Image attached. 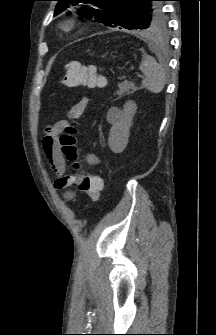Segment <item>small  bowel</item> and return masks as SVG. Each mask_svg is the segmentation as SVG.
Returning <instances> with one entry per match:
<instances>
[{
  "label": "small bowel",
  "mask_w": 216,
  "mask_h": 335,
  "mask_svg": "<svg viewBox=\"0 0 216 335\" xmlns=\"http://www.w3.org/2000/svg\"><path fill=\"white\" fill-rule=\"evenodd\" d=\"M88 100L82 99L77 104H75L68 112V117L71 119L79 118L85 112L87 107ZM68 125L66 120H60L55 123L52 127L47 128L46 134L43 137L42 145L43 150L46 155V158L51 165L52 169L57 175V179L55 181V187L57 189H63L64 198L68 201L73 200L76 196L75 191L70 189V187L76 183L77 179L73 176H64L65 173V161L60 151L59 145V134L63 131V129ZM86 160L91 165H97L99 163V159L94 154L88 153L86 155Z\"/></svg>",
  "instance_id": "1"
}]
</instances>
